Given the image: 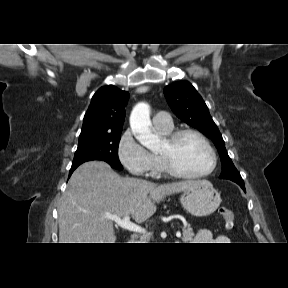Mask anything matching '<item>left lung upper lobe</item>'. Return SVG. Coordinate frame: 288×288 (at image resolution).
<instances>
[{
	"label": "left lung upper lobe",
	"mask_w": 288,
	"mask_h": 288,
	"mask_svg": "<svg viewBox=\"0 0 288 288\" xmlns=\"http://www.w3.org/2000/svg\"><path fill=\"white\" fill-rule=\"evenodd\" d=\"M164 95L177 117L213 140L222 162L220 178L244 185L240 173L227 153L225 142L210 116L208 107L192 84L188 81L175 82L164 88Z\"/></svg>",
	"instance_id": "obj_1"
}]
</instances>
